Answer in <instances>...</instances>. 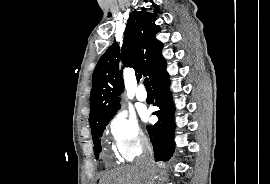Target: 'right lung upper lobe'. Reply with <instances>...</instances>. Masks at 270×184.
<instances>
[{
  "instance_id": "1",
  "label": "right lung upper lobe",
  "mask_w": 270,
  "mask_h": 184,
  "mask_svg": "<svg viewBox=\"0 0 270 184\" xmlns=\"http://www.w3.org/2000/svg\"><path fill=\"white\" fill-rule=\"evenodd\" d=\"M157 16L146 9L131 12L121 50L115 42L100 57L92 76L90 126L111 119L120 108L118 94L124 88L120 60L135 70L137 79L149 76L151 83L166 69L163 44L155 36L160 31L154 24Z\"/></svg>"
}]
</instances>
